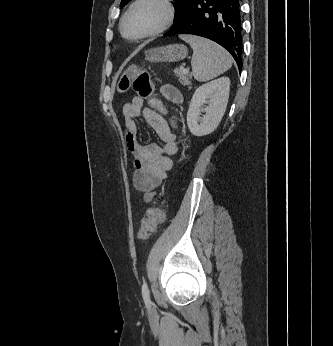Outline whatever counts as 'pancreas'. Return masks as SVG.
Returning a JSON list of instances; mask_svg holds the SVG:
<instances>
[{
	"mask_svg": "<svg viewBox=\"0 0 333 346\" xmlns=\"http://www.w3.org/2000/svg\"><path fill=\"white\" fill-rule=\"evenodd\" d=\"M175 75L178 77V80L180 81V83H182L183 85H186L190 88V84H191V75L188 73H184L183 69H176L175 71Z\"/></svg>",
	"mask_w": 333,
	"mask_h": 346,
	"instance_id": "obj_1",
	"label": "pancreas"
}]
</instances>
